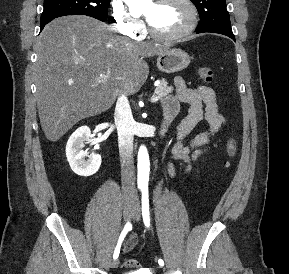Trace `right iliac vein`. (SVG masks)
Returning <instances> with one entry per match:
<instances>
[{
    "label": "right iliac vein",
    "mask_w": 289,
    "mask_h": 274,
    "mask_svg": "<svg viewBox=\"0 0 289 274\" xmlns=\"http://www.w3.org/2000/svg\"><path fill=\"white\" fill-rule=\"evenodd\" d=\"M133 213V205L132 201L130 199H126L124 201V206H123V217L124 220L127 221L129 218L132 216ZM119 264V261L115 259L110 263V268H117Z\"/></svg>",
    "instance_id": "obj_1"
}]
</instances>
